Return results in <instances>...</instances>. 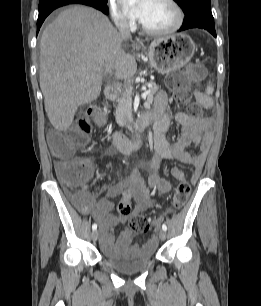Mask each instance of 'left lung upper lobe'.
Listing matches in <instances>:
<instances>
[{
    "mask_svg": "<svg viewBox=\"0 0 261 306\" xmlns=\"http://www.w3.org/2000/svg\"><path fill=\"white\" fill-rule=\"evenodd\" d=\"M183 10L185 15L204 12L212 15L210 0H174Z\"/></svg>",
    "mask_w": 261,
    "mask_h": 306,
    "instance_id": "1",
    "label": "left lung upper lobe"
}]
</instances>
